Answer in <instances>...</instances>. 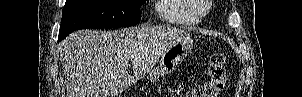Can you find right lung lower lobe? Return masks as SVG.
Segmentation results:
<instances>
[{
    "instance_id": "right-lung-lower-lobe-1",
    "label": "right lung lower lobe",
    "mask_w": 302,
    "mask_h": 97,
    "mask_svg": "<svg viewBox=\"0 0 302 97\" xmlns=\"http://www.w3.org/2000/svg\"><path fill=\"white\" fill-rule=\"evenodd\" d=\"M62 38L59 36V40H61Z\"/></svg>"
}]
</instances>
